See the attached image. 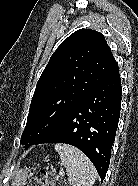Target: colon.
Segmentation results:
<instances>
[{
	"instance_id": "obj_1",
	"label": "colon",
	"mask_w": 138,
	"mask_h": 186,
	"mask_svg": "<svg viewBox=\"0 0 138 186\" xmlns=\"http://www.w3.org/2000/svg\"><path fill=\"white\" fill-rule=\"evenodd\" d=\"M28 186H67V184L59 175L41 170L30 180Z\"/></svg>"
}]
</instances>
